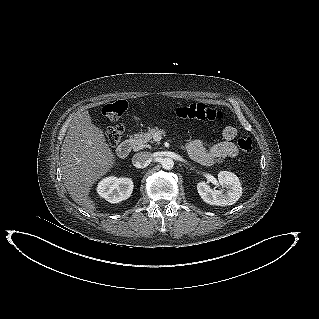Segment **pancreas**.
<instances>
[{"label": "pancreas", "mask_w": 319, "mask_h": 319, "mask_svg": "<svg viewBox=\"0 0 319 319\" xmlns=\"http://www.w3.org/2000/svg\"><path fill=\"white\" fill-rule=\"evenodd\" d=\"M156 133L163 134L164 130L154 127L148 130L146 133L134 134L131 139V146L134 151L141 150L148 147V142H152L153 136Z\"/></svg>", "instance_id": "obj_1"}]
</instances>
